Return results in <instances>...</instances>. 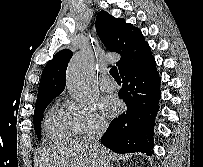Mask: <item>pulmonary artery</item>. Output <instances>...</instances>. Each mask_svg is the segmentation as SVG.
<instances>
[{
    "label": "pulmonary artery",
    "instance_id": "1",
    "mask_svg": "<svg viewBox=\"0 0 203 167\" xmlns=\"http://www.w3.org/2000/svg\"><path fill=\"white\" fill-rule=\"evenodd\" d=\"M116 86V82L109 76L104 77L100 82V88L104 91L115 90Z\"/></svg>",
    "mask_w": 203,
    "mask_h": 167
}]
</instances>
